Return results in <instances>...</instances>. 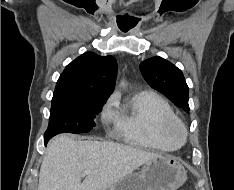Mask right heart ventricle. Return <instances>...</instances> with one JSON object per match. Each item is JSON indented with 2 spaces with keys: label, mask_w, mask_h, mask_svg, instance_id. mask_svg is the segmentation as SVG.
I'll return each mask as SVG.
<instances>
[{
  "label": "right heart ventricle",
  "mask_w": 234,
  "mask_h": 190,
  "mask_svg": "<svg viewBox=\"0 0 234 190\" xmlns=\"http://www.w3.org/2000/svg\"><path fill=\"white\" fill-rule=\"evenodd\" d=\"M177 117L170 104L153 91L134 95L123 107L116 109L115 128L127 144L159 151H173L179 145L169 140L164 129Z\"/></svg>",
  "instance_id": "1"
}]
</instances>
